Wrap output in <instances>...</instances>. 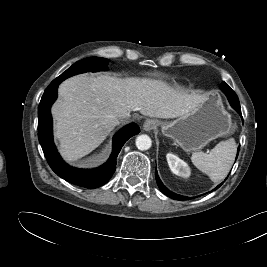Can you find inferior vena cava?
I'll return each instance as SVG.
<instances>
[{
	"mask_svg": "<svg viewBox=\"0 0 267 267\" xmlns=\"http://www.w3.org/2000/svg\"><path fill=\"white\" fill-rule=\"evenodd\" d=\"M129 116H130L129 113H125V114H122L120 117H122V118H126V117H129Z\"/></svg>",
	"mask_w": 267,
	"mask_h": 267,
	"instance_id": "1",
	"label": "inferior vena cava"
}]
</instances>
